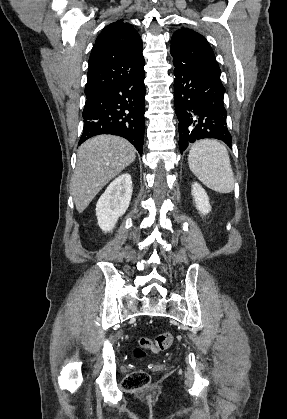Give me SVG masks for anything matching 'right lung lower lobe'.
<instances>
[{
  "mask_svg": "<svg viewBox=\"0 0 287 419\" xmlns=\"http://www.w3.org/2000/svg\"><path fill=\"white\" fill-rule=\"evenodd\" d=\"M145 72L110 86L87 98L79 145L100 134L118 135L143 152Z\"/></svg>",
  "mask_w": 287,
  "mask_h": 419,
  "instance_id": "1",
  "label": "right lung lower lobe"
}]
</instances>
